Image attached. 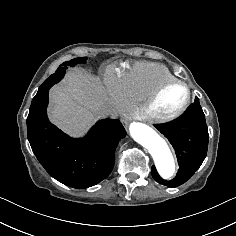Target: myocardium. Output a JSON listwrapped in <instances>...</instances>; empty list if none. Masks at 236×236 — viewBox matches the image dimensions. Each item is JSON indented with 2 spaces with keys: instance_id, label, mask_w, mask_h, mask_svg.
<instances>
[{
  "instance_id": "1",
  "label": "myocardium",
  "mask_w": 236,
  "mask_h": 236,
  "mask_svg": "<svg viewBox=\"0 0 236 236\" xmlns=\"http://www.w3.org/2000/svg\"><path fill=\"white\" fill-rule=\"evenodd\" d=\"M172 86H182L185 89V98L182 104L171 114L162 116L156 112V104L161 95ZM191 89L189 85L179 79L167 80L159 84L142 102L141 111L146 122L154 125L169 124L180 118L189 108L191 104Z\"/></svg>"
}]
</instances>
